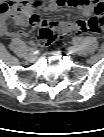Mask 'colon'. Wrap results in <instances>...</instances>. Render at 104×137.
Masks as SVG:
<instances>
[{
	"mask_svg": "<svg viewBox=\"0 0 104 137\" xmlns=\"http://www.w3.org/2000/svg\"><path fill=\"white\" fill-rule=\"evenodd\" d=\"M101 21L100 18L94 17L91 22L94 25H98ZM100 33V32H99ZM60 36V30L49 25H42L39 32V42L43 45L53 43L58 40Z\"/></svg>",
	"mask_w": 104,
	"mask_h": 137,
	"instance_id": "obj_1",
	"label": "colon"
}]
</instances>
